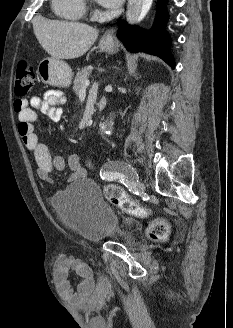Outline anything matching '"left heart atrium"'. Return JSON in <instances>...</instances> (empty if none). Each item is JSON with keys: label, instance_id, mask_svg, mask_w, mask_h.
<instances>
[{"label": "left heart atrium", "instance_id": "39dd6f15", "mask_svg": "<svg viewBox=\"0 0 233 328\" xmlns=\"http://www.w3.org/2000/svg\"><path fill=\"white\" fill-rule=\"evenodd\" d=\"M98 2L107 8H117L122 4L123 0H98Z\"/></svg>", "mask_w": 233, "mask_h": 328}]
</instances>
